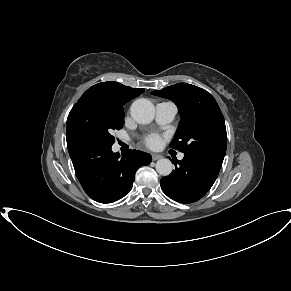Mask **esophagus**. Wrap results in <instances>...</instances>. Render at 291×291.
Instances as JSON below:
<instances>
[{"mask_svg":"<svg viewBox=\"0 0 291 291\" xmlns=\"http://www.w3.org/2000/svg\"><path fill=\"white\" fill-rule=\"evenodd\" d=\"M162 158V155H159V154H152V159L155 161V160H158Z\"/></svg>","mask_w":291,"mask_h":291,"instance_id":"obj_1","label":"esophagus"}]
</instances>
